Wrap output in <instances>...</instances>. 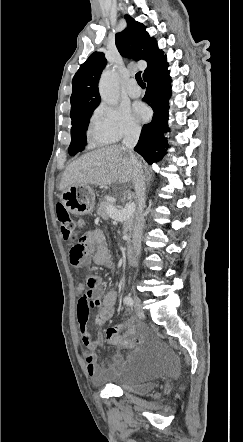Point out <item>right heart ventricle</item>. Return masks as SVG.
Segmentation results:
<instances>
[{"mask_svg": "<svg viewBox=\"0 0 243 442\" xmlns=\"http://www.w3.org/2000/svg\"><path fill=\"white\" fill-rule=\"evenodd\" d=\"M88 141L92 146H104L111 143L106 137H104L92 124L87 133Z\"/></svg>", "mask_w": 243, "mask_h": 442, "instance_id": "obj_1", "label": "right heart ventricle"}]
</instances>
